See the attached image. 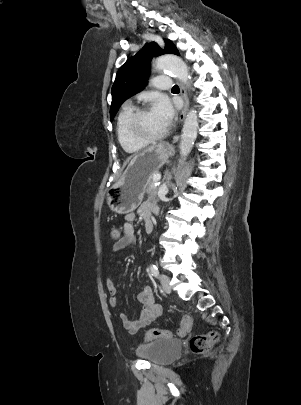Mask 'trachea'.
<instances>
[{"label": "trachea", "mask_w": 301, "mask_h": 405, "mask_svg": "<svg viewBox=\"0 0 301 405\" xmlns=\"http://www.w3.org/2000/svg\"><path fill=\"white\" fill-rule=\"evenodd\" d=\"M172 90H179V87L177 85L173 86Z\"/></svg>", "instance_id": "trachea-1"}]
</instances>
